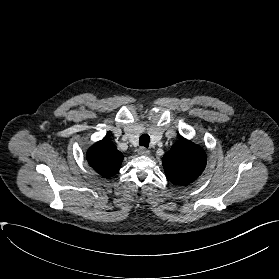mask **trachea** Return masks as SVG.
Instances as JSON below:
<instances>
[{"mask_svg": "<svg viewBox=\"0 0 279 279\" xmlns=\"http://www.w3.org/2000/svg\"><path fill=\"white\" fill-rule=\"evenodd\" d=\"M150 137L148 134H142L139 138V145L148 148Z\"/></svg>", "mask_w": 279, "mask_h": 279, "instance_id": "1", "label": "trachea"}]
</instances>
